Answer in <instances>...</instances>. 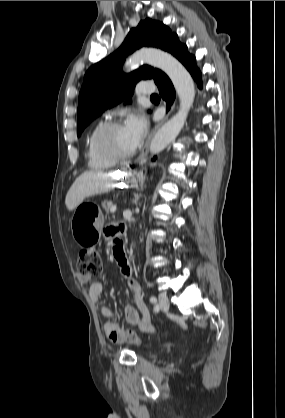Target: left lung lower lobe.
Returning a JSON list of instances; mask_svg holds the SVG:
<instances>
[{"label":"left lung lower lobe","instance_id":"obj_1","mask_svg":"<svg viewBox=\"0 0 285 418\" xmlns=\"http://www.w3.org/2000/svg\"><path fill=\"white\" fill-rule=\"evenodd\" d=\"M170 53L175 56L190 72L194 80L197 82L199 88H201V72L196 66V58L188 52L187 46L182 44L179 40L176 41L170 50ZM159 88V92L163 100L167 104V111L170 109L175 99V89L170 79L163 72L159 75L155 81ZM155 160V158H153Z\"/></svg>","mask_w":285,"mask_h":418}]
</instances>
